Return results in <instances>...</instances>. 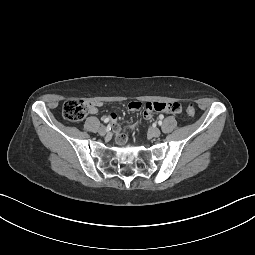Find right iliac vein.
<instances>
[{
    "label": "right iliac vein",
    "instance_id": "right-iliac-vein-1",
    "mask_svg": "<svg viewBox=\"0 0 255 255\" xmlns=\"http://www.w3.org/2000/svg\"><path fill=\"white\" fill-rule=\"evenodd\" d=\"M108 132L107 128L105 126H102L100 129H99V134L100 135H105L106 133Z\"/></svg>",
    "mask_w": 255,
    "mask_h": 255
}]
</instances>
